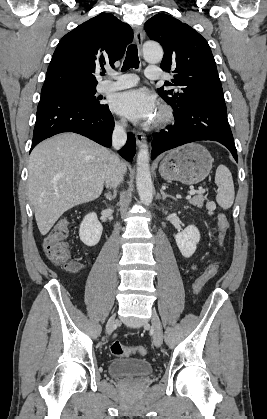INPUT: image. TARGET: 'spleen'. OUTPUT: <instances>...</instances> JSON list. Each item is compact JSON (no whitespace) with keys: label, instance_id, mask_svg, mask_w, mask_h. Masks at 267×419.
Returning <instances> with one entry per match:
<instances>
[{"label":"spleen","instance_id":"obj_1","mask_svg":"<svg viewBox=\"0 0 267 419\" xmlns=\"http://www.w3.org/2000/svg\"><path fill=\"white\" fill-rule=\"evenodd\" d=\"M215 183L218 186L216 201L223 209L232 206L235 197L233 178L230 170L225 165H220L216 170Z\"/></svg>","mask_w":267,"mask_h":419}]
</instances>
